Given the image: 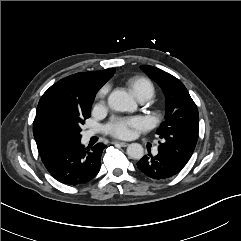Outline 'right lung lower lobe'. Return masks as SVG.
Here are the masks:
<instances>
[{
    "label": "right lung lower lobe",
    "instance_id": "1",
    "mask_svg": "<svg viewBox=\"0 0 241 241\" xmlns=\"http://www.w3.org/2000/svg\"><path fill=\"white\" fill-rule=\"evenodd\" d=\"M106 146L98 143L84 148L80 140L65 143L40 154L49 173L67 185H82L92 180L100 170L101 155Z\"/></svg>",
    "mask_w": 241,
    "mask_h": 241
}]
</instances>
